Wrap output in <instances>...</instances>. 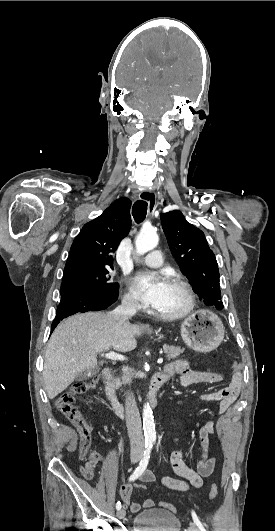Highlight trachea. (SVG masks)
<instances>
[{
	"label": "trachea",
	"instance_id": "obj_1",
	"mask_svg": "<svg viewBox=\"0 0 275 531\" xmlns=\"http://www.w3.org/2000/svg\"><path fill=\"white\" fill-rule=\"evenodd\" d=\"M147 214V202L144 200H138L134 203L132 208V215L134 220L139 224L142 222Z\"/></svg>",
	"mask_w": 275,
	"mask_h": 531
}]
</instances>
